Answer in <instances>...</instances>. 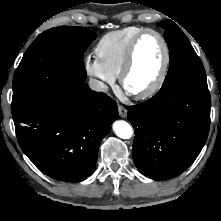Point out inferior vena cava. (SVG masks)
Returning a JSON list of instances; mask_svg holds the SVG:
<instances>
[{"mask_svg":"<svg viewBox=\"0 0 221 221\" xmlns=\"http://www.w3.org/2000/svg\"><path fill=\"white\" fill-rule=\"evenodd\" d=\"M89 87L97 92L99 91L105 92L108 90V86L106 84L94 78L89 79Z\"/></svg>","mask_w":221,"mask_h":221,"instance_id":"602c4592","label":"inferior vena cava"}]
</instances>
